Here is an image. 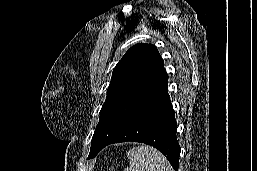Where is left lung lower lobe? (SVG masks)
Segmentation results:
<instances>
[{
  "label": "left lung lower lobe",
  "instance_id": "left-lung-lower-lobe-1",
  "mask_svg": "<svg viewBox=\"0 0 257 171\" xmlns=\"http://www.w3.org/2000/svg\"><path fill=\"white\" fill-rule=\"evenodd\" d=\"M177 122L168 94V80L159 92L140 110L113 139L105 142L88 158H94L104 147L125 141L142 142L162 152L178 171L180 146L176 137Z\"/></svg>",
  "mask_w": 257,
  "mask_h": 171
}]
</instances>
